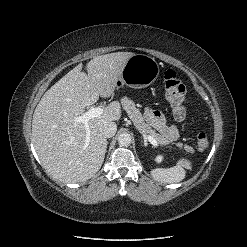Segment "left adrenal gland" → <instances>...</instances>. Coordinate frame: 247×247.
Here are the masks:
<instances>
[{
  "label": "left adrenal gland",
  "instance_id": "a2214340",
  "mask_svg": "<svg viewBox=\"0 0 247 247\" xmlns=\"http://www.w3.org/2000/svg\"><path fill=\"white\" fill-rule=\"evenodd\" d=\"M141 143H143V141H142V140H141ZM143 146H144V147H147V143H145V142H144V145H143Z\"/></svg>",
  "mask_w": 247,
  "mask_h": 247
}]
</instances>
